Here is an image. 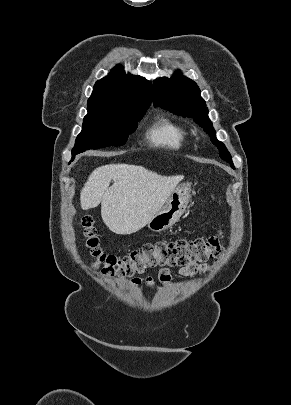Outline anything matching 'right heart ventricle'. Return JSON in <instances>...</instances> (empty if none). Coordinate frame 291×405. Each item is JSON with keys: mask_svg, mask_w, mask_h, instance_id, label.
I'll return each mask as SVG.
<instances>
[{"mask_svg": "<svg viewBox=\"0 0 291 405\" xmlns=\"http://www.w3.org/2000/svg\"><path fill=\"white\" fill-rule=\"evenodd\" d=\"M149 140L156 146L179 150L187 143V132L172 119L160 116L149 128Z\"/></svg>", "mask_w": 291, "mask_h": 405, "instance_id": "e07e8e85", "label": "right heart ventricle"}]
</instances>
